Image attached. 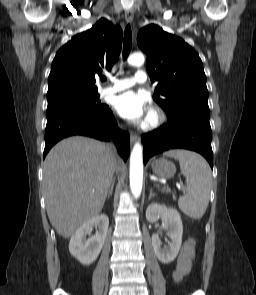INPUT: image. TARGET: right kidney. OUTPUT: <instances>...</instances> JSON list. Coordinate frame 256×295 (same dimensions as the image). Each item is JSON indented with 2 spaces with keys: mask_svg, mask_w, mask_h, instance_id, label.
<instances>
[{
  "mask_svg": "<svg viewBox=\"0 0 256 295\" xmlns=\"http://www.w3.org/2000/svg\"><path fill=\"white\" fill-rule=\"evenodd\" d=\"M109 218L105 214L95 216L80 226L70 239L69 251L80 263L89 265L99 256L106 239ZM94 236L87 238L93 228Z\"/></svg>",
  "mask_w": 256,
  "mask_h": 295,
  "instance_id": "right-kidney-1",
  "label": "right kidney"
}]
</instances>
